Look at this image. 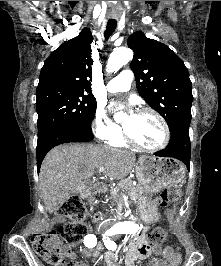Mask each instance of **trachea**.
Segmentation results:
<instances>
[{
	"instance_id": "obj_1",
	"label": "trachea",
	"mask_w": 221,
	"mask_h": 266,
	"mask_svg": "<svg viewBox=\"0 0 221 266\" xmlns=\"http://www.w3.org/2000/svg\"><path fill=\"white\" fill-rule=\"evenodd\" d=\"M117 26V21L116 20H109L107 22V27L106 31L104 33L105 39L108 40L109 37L113 34Z\"/></svg>"
}]
</instances>
